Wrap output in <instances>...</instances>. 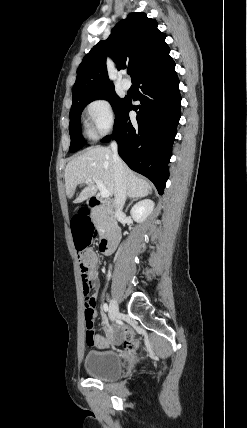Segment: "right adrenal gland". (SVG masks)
<instances>
[{
	"instance_id": "2a0ac1e0",
	"label": "right adrenal gland",
	"mask_w": 247,
	"mask_h": 428,
	"mask_svg": "<svg viewBox=\"0 0 247 428\" xmlns=\"http://www.w3.org/2000/svg\"><path fill=\"white\" fill-rule=\"evenodd\" d=\"M137 198H133L132 200H131V202L129 203V205L127 206V208L133 203V201H135Z\"/></svg>"
}]
</instances>
